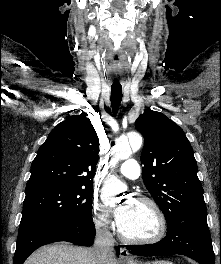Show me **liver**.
Wrapping results in <instances>:
<instances>
[{
	"instance_id": "1",
	"label": "liver",
	"mask_w": 221,
	"mask_h": 264,
	"mask_svg": "<svg viewBox=\"0 0 221 264\" xmlns=\"http://www.w3.org/2000/svg\"><path fill=\"white\" fill-rule=\"evenodd\" d=\"M24 264H100L94 248L74 247L67 244L44 246L34 252ZM106 264H118L115 257Z\"/></svg>"
}]
</instances>
